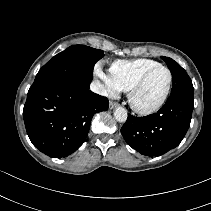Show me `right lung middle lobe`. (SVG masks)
<instances>
[{"mask_svg":"<svg viewBox=\"0 0 211 211\" xmlns=\"http://www.w3.org/2000/svg\"><path fill=\"white\" fill-rule=\"evenodd\" d=\"M104 56L102 50L73 45L54 56L36 75L34 83L62 81L89 87L95 63Z\"/></svg>","mask_w":211,"mask_h":211,"instance_id":"obj_1","label":"right lung middle lobe"}]
</instances>
